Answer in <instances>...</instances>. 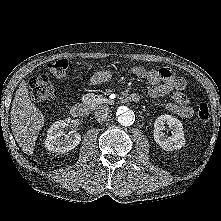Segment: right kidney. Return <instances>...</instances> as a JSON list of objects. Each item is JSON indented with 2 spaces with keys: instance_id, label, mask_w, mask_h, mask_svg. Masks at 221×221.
Listing matches in <instances>:
<instances>
[{
  "instance_id": "ca27d5eb",
  "label": "right kidney",
  "mask_w": 221,
  "mask_h": 221,
  "mask_svg": "<svg viewBox=\"0 0 221 221\" xmlns=\"http://www.w3.org/2000/svg\"><path fill=\"white\" fill-rule=\"evenodd\" d=\"M71 118L54 122L47 131L45 147L51 152H68L77 147L81 141L78 133L64 134L63 128L68 126Z\"/></svg>"
}]
</instances>
